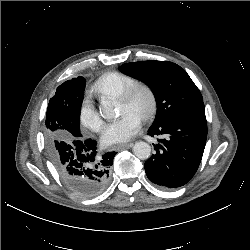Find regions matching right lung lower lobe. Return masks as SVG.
I'll use <instances>...</instances> for the list:
<instances>
[{"instance_id":"right-lung-lower-lobe-1","label":"right lung lower lobe","mask_w":250,"mask_h":250,"mask_svg":"<svg viewBox=\"0 0 250 250\" xmlns=\"http://www.w3.org/2000/svg\"><path fill=\"white\" fill-rule=\"evenodd\" d=\"M96 141L75 138L57 144L51 160L66 185L78 196L94 197L109 183L110 168L116 152L97 154Z\"/></svg>"}]
</instances>
